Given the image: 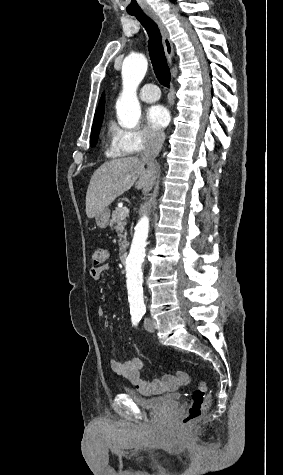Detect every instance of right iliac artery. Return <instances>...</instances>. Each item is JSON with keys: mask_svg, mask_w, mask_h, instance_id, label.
<instances>
[{"mask_svg": "<svg viewBox=\"0 0 283 475\" xmlns=\"http://www.w3.org/2000/svg\"><path fill=\"white\" fill-rule=\"evenodd\" d=\"M142 315L139 312H131V319L133 325H137V323L141 320Z\"/></svg>", "mask_w": 283, "mask_h": 475, "instance_id": "1", "label": "right iliac artery"}]
</instances>
